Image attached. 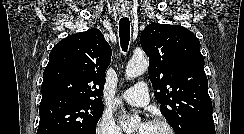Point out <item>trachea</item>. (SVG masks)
Here are the masks:
<instances>
[{"mask_svg":"<svg viewBox=\"0 0 244 134\" xmlns=\"http://www.w3.org/2000/svg\"><path fill=\"white\" fill-rule=\"evenodd\" d=\"M119 37L121 48L126 52L130 41V21L127 17H123L119 21Z\"/></svg>","mask_w":244,"mask_h":134,"instance_id":"trachea-1","label":"trachea"}]
</instances>
